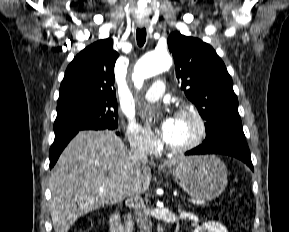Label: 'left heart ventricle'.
Instances as JSON below:
<instances>
[{
	"instance_id": "obj_1",
	"label": "left heart ventricle",
	"mask_w": 289,
	"mask_h": 232,
	"mask_svg": "<svg viewBox=\"0 0 289 232\" xmlns=\"http://www.w3.org/2000/svg\"><path fill=\"white\" fill-rule=\"evenodd\" d=\"M197 131L196 121L191 116H176L174 135L169 144L175 147L183 146L194 139Z\"/></svg>"
}]
</instances>
